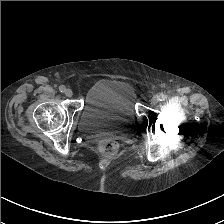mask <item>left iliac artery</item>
I'll use <instances>...</instances> for the list:
<instances>
[{"instance_id":"left-iliac-artery-1","label":"left iliac artery","mask_w":224,"mask_h":224,"mask_svg":"<svg viewBox=\"0 0 224 224\" xmlns=\"http://www.w3.org/2000/svg\"><path fill=\"white\" fill-rule=\"evenodd\" d=\"M166 98H167V97H166L165 94H160V95H159V100H160V101H164Z\"/></svg>"}]
</instances>
